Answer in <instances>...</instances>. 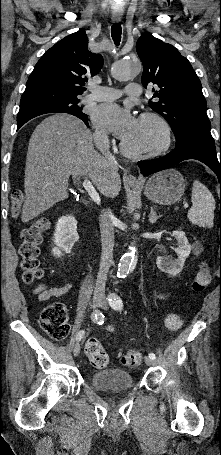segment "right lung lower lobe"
<instances>
[{
  "label": "right lung lower lobe",
  "instance_id": "98d812e1",
  "mask_svg": "<svg viewBox=\"0 0 221 455\" xmlns=\"http://www.w3.org/2000/svg\"><path fill=\"white\" fill-rule=\"evenodd\" d=\"M36 116H31V117H27L25 119H22L21 121L18 122V128L19 129L23 124H25L27 121H29L30 119L34 118ZM89 127V125H87Z\"/></svg>",
  "mask_w": 221,
  "mask_h": 455
}]
</instances>
